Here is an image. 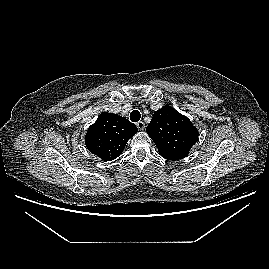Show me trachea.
<instances>
[{"label":"trachea","mask_w":269,"mask_h":269,"mask_svg":"<svg viewBox=\"0 0 269 269\" xmlns=\"http://www.w3.org/2000/svg\"><path fill=\"white\" fill-rule=\"evenodd\" d=\"M141 118V114L138 110H133L130 114V119L132 122H137Z\"/></svg>","instance_id":"obj_1"}]
</instances>
